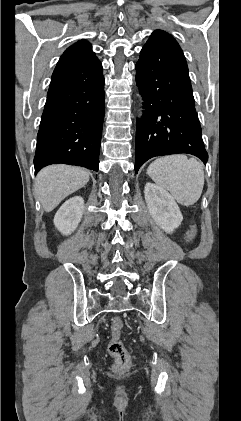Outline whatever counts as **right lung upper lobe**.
<instances>
[{
  "label": "right lung upper lobe",
  "instance_id": "obj_1",
  "mask_svg": "<svg viewBox=\"0 0 241 421\" xmlns=\"http://www.w3.org/2000/svg\"><path fill=\"white\" fill-rule=\"evenodd\" d=\"M94 57L96 56L95 53L91 50V44L84 40H80L65 50V52L60 57L53 74L71 65L84 62Z\"/></svg>",
  "mask_w": 241,
  "mask_h": 421
}]
</instances>
